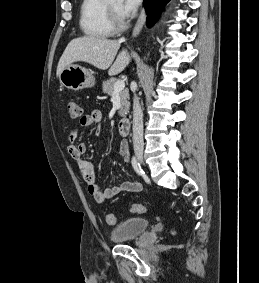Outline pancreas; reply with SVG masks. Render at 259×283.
<instances>
[{"mask_svg":"<svg viewBox=\"0 0 259 283\" xmlns=\"http://www.w3.org/2000/svg\"><path fill=\"white\" fill-rule=\"evenodd\" d=\"M117 81L119 80L116 78H110L108 80L103 81L102 84L103 92L109 96H112L114 94V85ZM119 97H120L121 107L120 110L118 111V114L123 117L129 112V107H130L128 89H123L122 91H120Z\"/></svg>","mask_w":259,"mask_h":283,"instance_id":"1","label":"pancreas"}]
</instances>
